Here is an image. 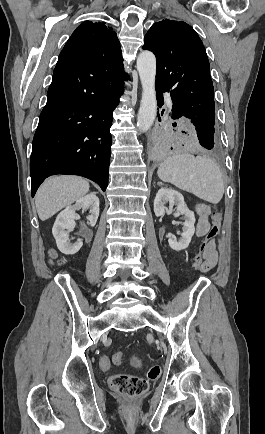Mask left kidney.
Returning a JSON list of instances; mask_svg holds the SVG:
<instances>
[{
    "mask_svg": "<svg viewBox=\"0 0 265 434\" xmlns=\"http://www.w3.org/2000/svg\"><path fill=\"white\" fill-rule=\"evenodd\" d=\"M170 202L171 206H177L176 212H180L182 216H184L185 222H183L182 226V234L179 240H173V238H169V246L172 250H185L188 248L192 236H194L195 232V216L194 212H191L189 208H187L184 198L182 194L176 192V190H170V188H161L158 194H156V198L154 200V212L155 216H164L165 212H171L168 208H165V204Z\"/></svg>",
    "mask_w": 265,
    "mask_h": 434,
    "instance_id": "left-kidney-1",
    "label": "left kidney"
}]
</instances>
